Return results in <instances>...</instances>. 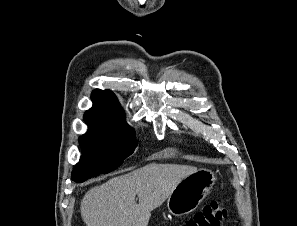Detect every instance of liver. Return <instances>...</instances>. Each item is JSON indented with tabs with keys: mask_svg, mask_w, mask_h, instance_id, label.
Wrapping results in <instances>:
<instances>
[{
	"mask_svg": "<svg viewBox=\"0 0 297 226\" xmlns=\"http://www.w3.org/2000/svg\"><path fill=\"white\" fill-rule=\"evenodd\" d=\"M196 167L149 164L90 189L81 201L86 226H147L176 185ZM138 195L139 203L135 202Z\"/></svg>",
	"mask_w": 297,
	"mask_h": 226,
	"instance_id": "6515ba94",
	"label": "liver"
}]
</instances>
